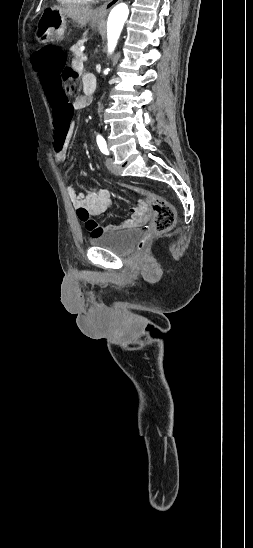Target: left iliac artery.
I'll return each instance as SVG.
<instances>
[{"label":"left iliac artery","instance_id":"left-iliac-artery-1","mask_svg":"<svg viewBox=\"0 0 253 548\" xmlns=\"http://www.w3.org/2000/svg\"><path fill=\"white\" fill-rule=\"evenodd\" d=\"M97 144H98L99 149L101 150V152L103 154L109 155V151L107 149V144H106V141L104 139H98Z\"/></svg>","mask_w":253,"mask_h":548}]
</instances>
